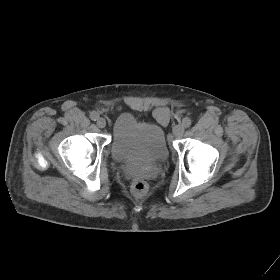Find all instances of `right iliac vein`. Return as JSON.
<instances>
[{"label":"right iliac vein","instance_id":"63e3f726","mask_svg":"<svg viewBox=\"0 0 280 280\" xmlns=\"http://www.w3.org/2000/svg\"><path fill=\"white\" fill-rule=\"evenodd\" d=\"M96 124L99 128H104L106 126V120L102 117L98 118Z\"/></svg>","mask_w":280,"mask_h":280}]
</instances>
